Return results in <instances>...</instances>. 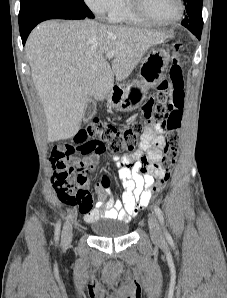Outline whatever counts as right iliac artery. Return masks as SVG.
<instances>
[{"label": "right iliac artery", "mask_w": 227, "mask_h": 298, "mask_svg": "<svg viewBox=\"0 0 227 298\" xmlns=\"http://www.w3.org/2000/svg\"><path fill=\"white\" fill-rule=\"evenodd\" d=\"M59 232H60V222H58L56 224V228H55V240L58 241L59 239Z\"/></svg>", "instance_id": "82829eb1"}]
</instances>
